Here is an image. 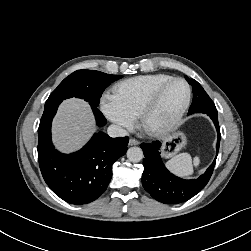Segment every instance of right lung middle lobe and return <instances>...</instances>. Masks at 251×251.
I'll return each mask as SVG.
<instances>
[{"label": "right lung middle lobe", "instance_id": "right-lung-middle-lobe-1", "mask_svg": "<svg viewBox=\"0 0 251 251\" xmlns=\"http://www.w3.org/2000/svg\"><path fill=\"white\" fill-rule=\"evenodd\" d=\"M122 77L95 70H77L59 84L47 99L45 106L61 103L70 97L81 98L98 106L105 88Z\"/></svg>", "mask_w": 251, "mask_h": 251}]
</instances>
